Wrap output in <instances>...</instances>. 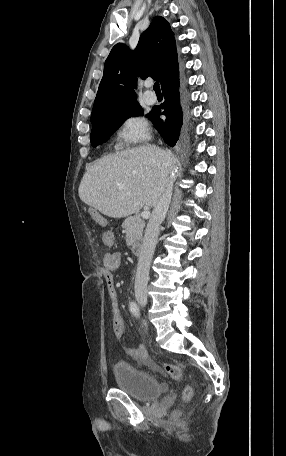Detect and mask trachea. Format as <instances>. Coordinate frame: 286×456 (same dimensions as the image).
Returning a JSON list of instances; mask_svg holds the SVG:
<instances>
[{
    "label": "trachea",
    "instance_id": "obj_1",
    "mask_svg": "<svg viewBox=\"0 0 286 456\" xmlns=\"http://www.w3.org/2000/svg\"><path fill=\"white\" fill-rule=\"evenodd\" d=\"M153 88H154L155 92H161L160 86H159V82H158V81H156V82L154 83V87H153Z\"/></svg>",
    "mask_w": 286,
    "mask_h": 456
}]
</instances>
